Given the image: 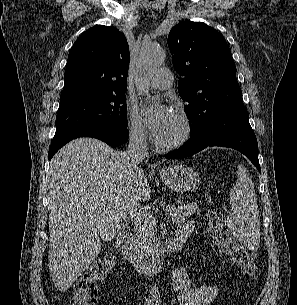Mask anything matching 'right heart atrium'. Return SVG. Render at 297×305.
I'll return each mask as SVG.
<instances>
[{
	"label": "right heart atrium",
	"instance_id": "obj_1",
	"mask_svg": "<svg viewBox=\"0 0 297 305\" xmlns=\"http://www.w3.org/2000/svg\"><path fill=\"white\" fill-rule=\"evenodd\" d=\"M126 131L128 137L135 145H144L147 141V131L139 112L129 107L126 115Z\"/></svg>",
	"mask_w": 297,
	"mask_h": 305
}]
</instances>
